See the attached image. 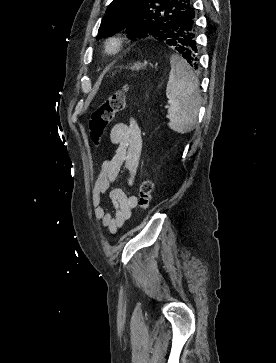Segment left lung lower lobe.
Listing matches in <instances>:
<instances>
[{"mask_svg": "<svg viewBox=\"0 0 276 363\" xmlns=\"http://www.w3.org/2000/svg\"><path fill=\"white\" fill-rule=\"evenodd\" d=\"M173 32L166 35V43L178 51L189 63L192 70H197L198 48L196 43V20L192 7L187 8L177 18Z\"/></svg>", "mask_w": 276, "mask_h": 363, "instance_id": "left-lung-lower-lobe-1", "label": "left lung lower lobe"}]
</instances>
